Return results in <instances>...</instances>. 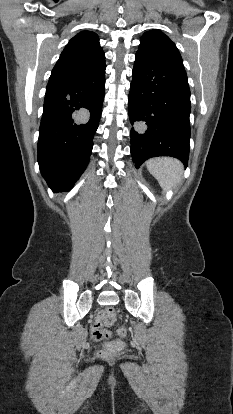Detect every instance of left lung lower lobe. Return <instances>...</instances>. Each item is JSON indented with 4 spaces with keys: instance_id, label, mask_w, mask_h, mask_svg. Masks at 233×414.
I'll return each instance as SVG.
<instances>
[{
    "instance_id": "left-lung-lower-lobe-1",
    "label": "left lung lower lobe",
    "mask_w": 233,
    "mask_h": 414,
    "mask_svg": "<svg viewBox=\"0 0 233 414\" xmlns=\"http://www.w3.org/2000/svg\"><path fill=\"white\" fill-rule=\"evenodd\" d=\"M128 111L136 167L157 156H173L187 165L190 89L183 68L136 54Z\"/></svg>"
}]
</instances>
